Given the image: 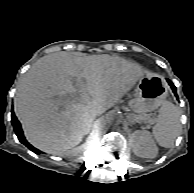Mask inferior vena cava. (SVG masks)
Listing matches in <instances>:
<instances>
[{
    "instance_id": "1",
    "label": "inferior vena cava",
    "mask_w": 194,
    "mask_h": 193,
    "mask_svg": "<svg viewBox=\"0 0 194 193\" xmlns=\"http://www.w3.org/2000/svg\"><path fill=\"white\" fill-rule=\"evenodd\" d=\"M103 109H100V108H95L93 109L90 113H89V118L90 119H93L94 117H96L98 114H101L103 113Z\"/></svg>"
}]
</instances>
